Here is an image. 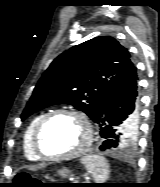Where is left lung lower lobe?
<instances>
[{
  "label": "left lung lower lobe",
  "mask_w": 160,
  "mask_h": 187,
  "mask_svg": "<svg viewBox=\"0 0 160 187\" xmlns=\"http://www.w3.org/2000/svg\"><path fill=\"white\" fill-rule=\"evenodd\" d=\"M139 120V87L137 68L103 100L94 120L104 139L99 149L113 150L121 145L124 136L131 134ZM133 142L130 140L128 143Z\"/></svg>",
  "instance_id": "1"
}]
</instances>
